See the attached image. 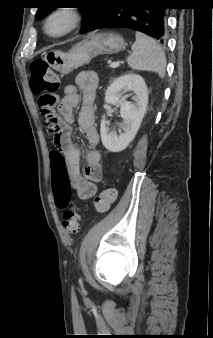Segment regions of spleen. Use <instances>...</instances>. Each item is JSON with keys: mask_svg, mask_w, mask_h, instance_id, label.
Here are the masks:
<instances>
[{"mask_svg": "<svg viewBox=\"0 0 213 338\" xmlns=\"http://www.w3.org/2000/svg\"><path fill=\"white\" fill-rule=\"evenodd\" d=\"M127 63L133 70L155 72L163 78L167 62L164 51L154 39L136 32V41Z\"/></svg>", "mask_w": 213, "mask_h": 338, "instance_id": "spleen-1", "label": "spleen"}]
</instances>
